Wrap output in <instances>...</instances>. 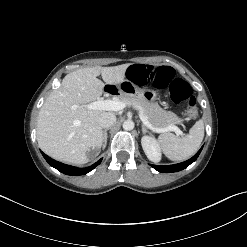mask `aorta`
Returning <instances> with one entry per match:
<instances>
[{"instance_id": "obj_1", "label": "aorta", "mask_w": 247, "mask_h": 247, "mask_svg": "<svg viewBox=\"0 0 247 247\" xmlns=\"http://www.w3.org/2000/svg\"><path fill=\"white\" fill-rule=\"evenodd\" d=\"M134 128V122L132 120H126L123 123V129L130 131Z\"/></svg>"}]
</instances>
